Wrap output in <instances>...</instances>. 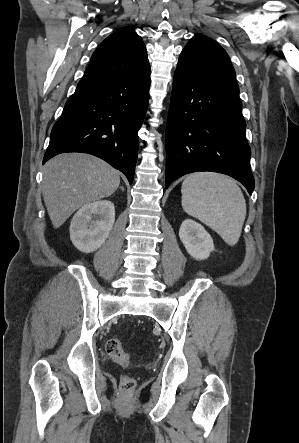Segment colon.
I'll list each match as a JSON object with an SVG mask.
<instances>
[{
    "mask_svg": "<svg viewBox=\"0 0 299 443\" xmlns=\"http://www.w3.org/2000/svg\"><path fill=\"white\" fill-rule=\"evenodd\" d=\"M106 354L116 363L120 365H128L130 362L129 354L122 348L120 341L117 338H109L105 345ZM136 387V381L131 376H123L120 381V390L125 395H129Z\"/></svg>",
    "mask_w": 299,
    "mask_h": 443,
    "instance_id": "obj_1",
    "label": "colon"
}]
</instances>
